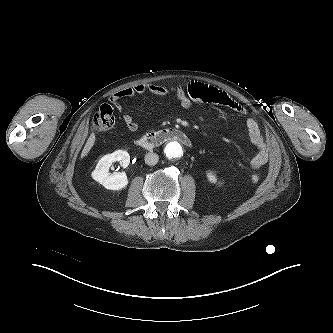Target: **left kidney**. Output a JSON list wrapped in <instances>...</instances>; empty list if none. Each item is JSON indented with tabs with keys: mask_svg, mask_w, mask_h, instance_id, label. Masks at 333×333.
Segmentation results:
<instances>
[{
	"mask_svg": "<svg viewBox=\"0 0 333 333\" xmlns=\"http://www.w3.org/2000/svg\"><path fill=\"white\" fill-rule=\"evenodd\" d=\"M207 179L210 183L216 184L217 183V177L213 172L207 173Z\"/></svg>",
	"mask_w": 333,
	"mask_h": 333,
	"instance_id": "5707ae66",
	"label": "left kidney"
}]
</instances>
